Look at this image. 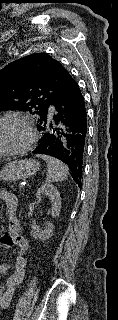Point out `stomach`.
I'll return each instance as SVG.
<instances>
[{
	"label": "stomach",
	"instance_id": "1",
	"mask_svg": "<svg viewBox=\"0 0 118 320\" xmlns=\"http://www.w3.org/2000/svg\"><path fill=\"white\" fill-rule=\"evenodd\" d=\"M40 162L35 159H18L9 161L0 170V180L16 181L36 175Z\"/></svg>",
	"mask_w": 118,
	"mask_h": 320
}]
</instances>
